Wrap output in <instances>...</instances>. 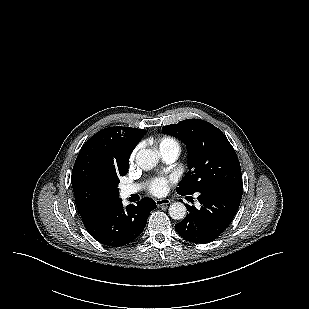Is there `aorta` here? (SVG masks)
Instances as JSON below:
<instances>
[{
  "label": "aorta",
  "mask_w": 309,
  "mask_h": 309,
  "mask_svg": "<svg viewBox=\"0 0 309 309\" xmlns=\"http://www.w3.org/2000/svg\"><path fill=\"white\" fill-rule=\"evenodd\" d=\"M159 161V155L151 149H141L136 154V163L143 170L153 169ZM169 215L174 220H182L185 218L187 209L181 202H174L169 206Z\"/></svg>",
  "instance_id": "762f6f07"
}]
</instances>
